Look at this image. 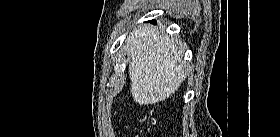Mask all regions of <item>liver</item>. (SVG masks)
Here are the masks:
<instances>
[{
  "instance_id": "6515ba94",
  "label": "liver",
  "mask_w": 280,
  "mask_h": 137,
  "mask_svg": "<svg viewBox=\"0 0 280 137\" xmlns=\"http://www.w3.org/2000/svg\"><path fill=\"white\" fill-rule=\"evenodd\" d=\"M123 49L129 58L131 94L140 105L167 99L186 78L183 50L157 27L147 24L134 29Z\"/></svg>"
}]
</instances>
